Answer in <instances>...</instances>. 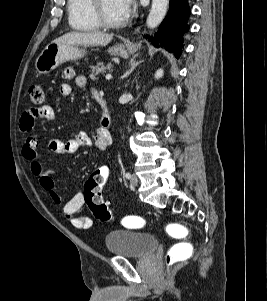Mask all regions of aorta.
Instances as JSON below:
<instances>
[{"label": "aorta", "mask_w": 267, "mask_h": 301, "mask_svg": "<svg viewBox=\"0 0 267 301\" xmlns=\"http://www.w3.org/2000/svg\"><path fill=\"white\" fill-rule=\"evenodd\" d=\"M168 8V0H152V7L147 17L148 28L157 27L164 19Z\"/></svg>", "instance_id": "obj_1"}]
</instances>
